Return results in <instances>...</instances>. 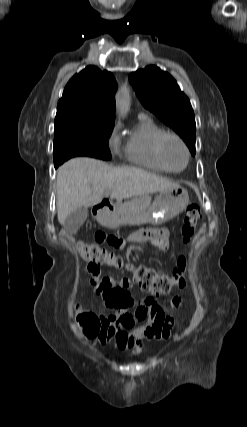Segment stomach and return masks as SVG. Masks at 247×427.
Wrapping results in <instances>:
<instances>
[{
    "label": "stomach",
    "mask_w": 247,
    "mask_h": 427,
    "mask_svg": "<svg viewBox=\"0 0 247 427\" xmlns=\"http://www.w3.org/2000/svg\"><path fill=\"white\" fill-rule=\"evenodd\" d=\"M189 204V195L186 189L177 186L161 191L147 211L137 213L132 217H118L116 212L100 211L96 214L97 221L108 228H117L121 224L153 223L160 224L168 221L181 212Z\"/></svg>",
    "instance_id": "1"
}]
</instances>
